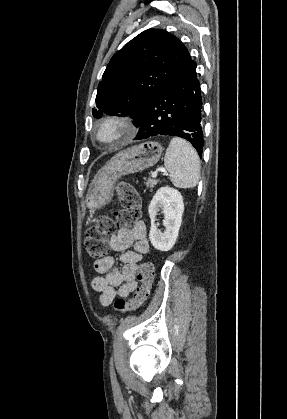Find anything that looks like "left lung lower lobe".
I'll return each instance as SVG.
<instances>
[{
    "mask_svg": "<svg viewBox=\"0 0 287 419\" xmlns=\"http://www.w3.org/2000/svg\"><path fill=\"white\" fill-rule=\"evenodd\" d=\"M192 63L147 103L135 140L158 135L177 136L188 140L201 156L204 145L202 100Z\"/></svg>",
    "mask_w": 287,
    "mask_h": 419,
    "instance_id": "left-lung-lower-lobe-1",
    "label": "left lung lower lobe"
}]
</instances>
